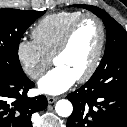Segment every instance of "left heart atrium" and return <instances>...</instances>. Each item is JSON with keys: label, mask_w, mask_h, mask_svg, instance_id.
<instances>
[{"label": "left heart atrium", "mask_w": 127, "mask_h": 127, "mask_svg": "<svg viewBox=\"0 0 127 127\" xmlns=\"http://www.w3.org/2000/svg\"><path fill=\"white\" fill-rule=\"evenodd\" d=\"M76 81V77L65 68L56 66L38 83L42 93L58 95L68 90Z\"/></svg>", "instance_id": "39dd6f15"}]
</instances>
